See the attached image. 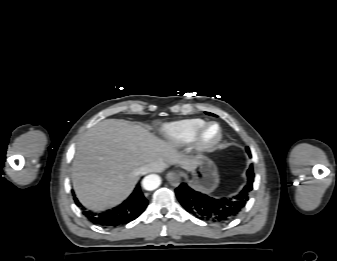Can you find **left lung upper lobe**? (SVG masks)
Wrapping results in <instances>:
<instances>
[{
  "mask_svg": "<svg viewBox=\"0 0 337 261\" xmlns=\"http://www.w3.org/2000/svg\"><path fill=\"white\" fill-rule=\"evenodd\" d=\"M246 151H247V153L249 154V156L251 155V153H250V150H249V148L248 147H246Z\"/></svg>",
  "mask_w": 337,
  "mask_h": 261,
  "instance_id": "1",
  "label": "left lung upper lobe"
}]
</instances>
